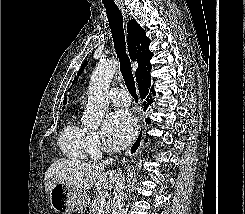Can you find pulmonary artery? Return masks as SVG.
<instances>
[{
	"label": "pulmonary artery",
	"instance_id": "1",
	"mask_svg": "<svg viewBox=\"0 0 245 214\" xmlns=\"http://www.w3.org/2000/svg\"><path fill=\"white\" fill-rule=\"evenodd\" d=\"M110 100L116 105L128 106L131 101L129 93L124 89L113 88L109 92Z\"/></svg>",
	"mask_w": 245,
	"mask_h": 214
}]
</instances>
